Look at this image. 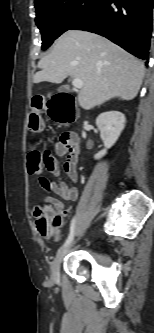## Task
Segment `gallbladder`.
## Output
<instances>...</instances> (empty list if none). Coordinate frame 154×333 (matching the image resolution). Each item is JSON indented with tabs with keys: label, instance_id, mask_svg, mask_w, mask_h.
Instances as JSON below:
<instances>
[{
	"label": "gallbladder",
	"instance_id": "bac80fb5",
	"mask_svg": "<svg viewBox=\"0 0 154 333\" xmlns=\"http://www.w3.org/2000/svg\"><path fill=\"white\" fill-rule=\"evenodd\" d=\"M58 91L59 92H67L68 88L66 86H61V87L58 88Z\"/></svg>",
	"mask_w": 154,
	"mask_h": 333
}]
</instances>
